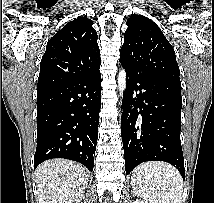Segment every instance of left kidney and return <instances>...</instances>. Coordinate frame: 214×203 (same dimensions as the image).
<instances>
[{
	"instance_id": "1",
	"label": "left kidney",
	"mask_w": 214,
	"mask_h": 203,
	"mask_svg": "<svg viewBox=\"0 0 214 203\" xmlns=\"http://www.w3.org/2000/svg\"><path fill=\"white\" fill-rule=\"evenodd\" d=\"M134 203H147V202H146V201H143V200L137 199V200L134 201Z\"/></svg>"
}]
</instances>
